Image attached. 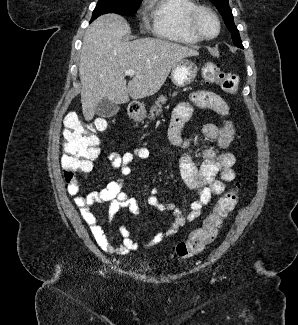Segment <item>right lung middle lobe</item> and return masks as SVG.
Listing matches in <instances>:
<instances>
[{
  "mask_svg": "<svg viewBox=\"0 0 298 325\" xmlns=\"http://www.w3.org/2000/svg\"><path fill=\"white\" fill-rule=\"evenodd\" d=\"M141 0H99L92 14L91 22L106 13H117L124 16L136 13Z\"/></svg>",
  "mask_w": 298,
  "mask_h": 325,
  "instance_id": "dd1d6c3e",
  "label": "right lung middle lobe"
}]
</instances>
